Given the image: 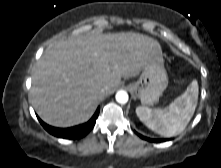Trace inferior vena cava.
<instances>
[{"label":"inferior vena cava","mask_w":221,"mask_h":168,"mask_svg":"<svg viewBox=\"0 0 221 168\" xmlns=\"http://www.w3.org/2000/svg\"><path fill=\"white\" fill-rule=\"evenodd\" d=\"M106 89H107V86H104L101 91L104 92Z\"/></svg>","instance_id":"inferior-vena-cava-1"}]
</instances>
